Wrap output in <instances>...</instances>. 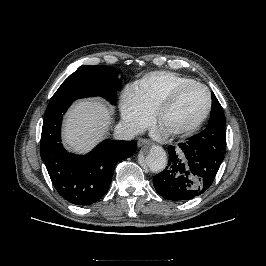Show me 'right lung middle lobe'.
Masks as SVG:
<instances>
[{
  "label": "right lung middle lobe",
  "instance_id": "obj_1",
  "mask_svg": "<svg viewBox=\"0 0 266 266\" xmlns=\"http://www.w3.org/2000/svg\"><path fill=\"white\" fill-rule=\"evenodd\" d=\"M120 71L109 66H81L58 88L53 97L73 99L101 96L115 104Z\"/></svg>",
  "mask_w": 266,
  "mask_h": 266
}]
</instances>
